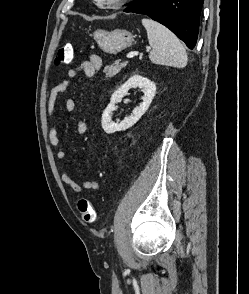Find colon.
I'll use <instances>...</instances> for the list:
<instances>
[{"instance_id": "1", "label": "colon", "mask_w": 249, "mask_h": 294, "mask_svg": "<svg viewBox=\"0 0 249 294\" xmlns=\"http://www.w3.org/2000/svg\"><path fill=\"white\" fill-rule=\"evenodd\" d=\"M72 59L73 46L71 44H66L58 49L55 64L57 66L68 65L72 62ZM78 210L84 222L93 223L96 220V211L88 199L81 198L78 201Z\"/></svg>"}]
</instances>
